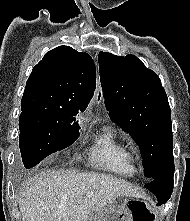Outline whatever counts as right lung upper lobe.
<instances>
[{
    "label": "right lung upper lobe",
    "mask_w": 190,
    "mask_h": 221,
    "mask_svg": "<svg viewBox=\"0 0 190 221\" xmlns=\"http://www.w3.org/2000/svg\"><path fill=\"white\" fill-rule=\"evenodd\" d=\"M96 70L92 58L69 46L47 52L33 68L21 101L31 110L83 112L93 96Z\"/></svg>",
    "instance_id": "1"
}]
</instances>
